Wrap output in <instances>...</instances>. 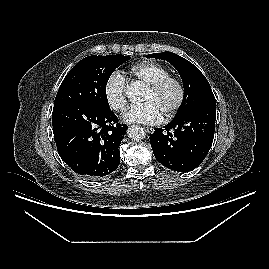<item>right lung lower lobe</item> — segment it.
Wrapping results in <instances>:
<instances>
[{
	"label": "right lung lower lobe",
	"instance_id": "obj_1",
	"mask_svg": "<svg viewBox=\"0 0 269 269\" xmlns=\"http://www.w3.org/2000/svg\"><path fill=\"white\" fill-rule=\"evenodd\" d=\"M52 124L62 160L87 179H98L120 164L119 145L127 125L109 109L78 103L53 107Z\"/></svg>",
	"mask_w": 269,
	"mask_h": 269
}]
</instances>
